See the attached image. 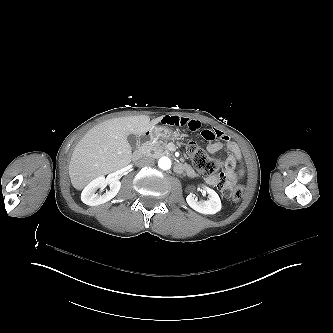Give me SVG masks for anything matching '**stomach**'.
<instances>
[{
    "label": "stomach",
    "mask_w": 333,
    "mask_h": 333,
    "mask_svg": "<svg viewBox=\"0 0 333 333\" xmlns=\"http://www.w3.org/2000/svg\"><path fill=\"white\" fill-rule=\"evenodd\" d=\"M173 136V132L169 127L166 126H153L143 137V144L149 143L157 139H170ZM176 139L179 137L177 134L174 136ZM184 140L187 139L189 142L192 140L188 135L182 137Z\"/></svg>",
    "instance_id": "1"
}]
</instances>
